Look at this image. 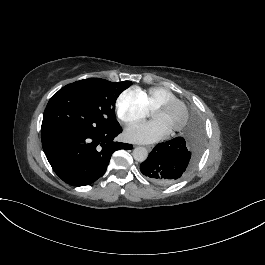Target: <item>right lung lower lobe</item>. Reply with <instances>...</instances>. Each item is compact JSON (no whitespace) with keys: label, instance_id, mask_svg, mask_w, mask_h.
Listing matches in <instances>:
<instances>
[{"label":"right lung lower lobe","instance_id":"right-lung-lower-lobe-1","mask_svg":"<svg viewBox=\"0 0 265 265\" xmlns=\"http://www.w3.org/2000/svg\"><path fill=\"white\" fill-rule=\"evenodd\" d=\"M121 126L107 131H60L42 137L44 153L55 173L67 184L85 186L100 178L116 150L132 149L115 142Z\"/></svg>","mask_w":265,"mask_h":265}]
</instances>
